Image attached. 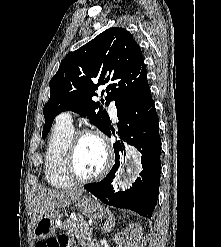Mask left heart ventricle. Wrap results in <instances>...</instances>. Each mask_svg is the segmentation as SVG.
Wrapping results in <instances>:
<instances>
[{
    "mask_svg": "<svg viewBox=\"0 0 221 247\" xmlns=\"http://www.w3.org/2000/svg\"><path fill=\"white\" fill-rule=\"evenodd\" d=\"M75 163L82 176L97 174L105 163V152L100 141L93 136L82 137L76 152Z\"/></svg>",
    "mask_w": 221,
    "mask_h": 247,
    "instance_id": "obj_1",
    "label": "left heart ventricle"
}]
</instances>
